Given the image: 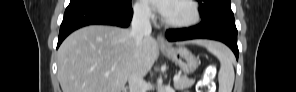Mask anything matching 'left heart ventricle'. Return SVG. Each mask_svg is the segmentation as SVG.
<instances>
[{
	"label": "left heart ventricle",
	"mask_w": 296,
	"mask_h": 92,
	"mask_svg": "<svg viewBox=\"0 0 296 92\" xmlns=\"http://www.w3.org/2000/svg\"><path fill=\"white\" fill-rule=\"evenodd\" d=\"M192 16L191 8L184 2L174 1L170 5V10L165 16L170 21H185Z\"/></svg>",
	"instance_id": "left-heart-ventricle-1"
}]
</instances>
